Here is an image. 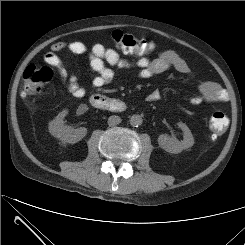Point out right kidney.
Wrapping results in <instances>:
<instances>
[{
    "label": "right kidney",
    "mask_w": 245,
    "mask_h": 245,
    "mask_svg": "<svg viewBox=\"0 0 245 245\" xmlns=\"http://www.w3.org/2000/svg\"><path fill=\"white\" fill-rule=\"evenodd\" d=\"M67 114L68 111L66 110L60 112L55 119L49 123V132L65 143H77L86 136L87 129L84 127L73 129L70 126L64 125L63 119Z\"/></svg>",
    "instance_id": "1"
}]
</instances>
